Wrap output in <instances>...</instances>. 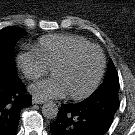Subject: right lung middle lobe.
Listing matches in <instances>:
<instances>
[{"instance_id": "dd1d6c3e", "label": "right lung middle lobe", "mask_w": 135, "mask_h": 135, "mask_svg": "<svg viewBox=\"0 0 135 135\" xmlns=\"http://www.w3.org/2000/svg\"><path fill=\"white\" fill-rule=\"evenodd\" d=\"M24 33L17 27L0 30V81L18 77L13 54L16 42Z\"/></svg>"}]
</instances>
